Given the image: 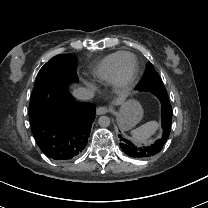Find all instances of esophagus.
<instances>
[{
    "instance_id": "34e87169",
    "label": "esophagus",
    "mask_w": 208,
    "mask_h": 208,
    "mask_svg": "<svg viewBox=\"0 0 208 208\" xmlns=\"http://www.w3.org/2000/svg\"><path fill=\"white\" fill-rule=\"evenodd\" d=\"M96 113H97V115H104V114L108 113V109L105 107H99V108H97Z\"/></svg>"
}]
</instances>
